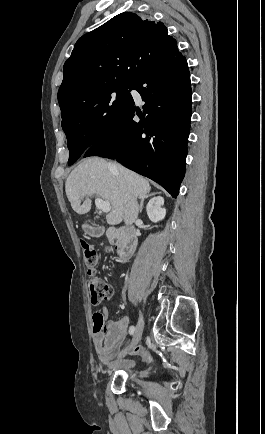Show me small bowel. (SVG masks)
<instances>
[{"label":"small bowel","instance_id":"small-bowel-1","mask_svg":"<svg viewBox=\"0 0 265 434\" xmlns=\"http://www.w3.org/2000/svg\"><path fill=\"white\" fill-rule=\"evenodd\" d=\"M104 316L108 315V310L102 311ZM128 318L119 316L107 322L103 331L93 335L95 352L98 355L99 364L111 363V358L116 353V349L127 335Z\"/></svg>","mask_w":265,"mask_h":434}]
</instances>
